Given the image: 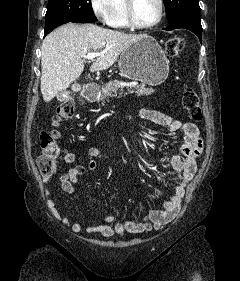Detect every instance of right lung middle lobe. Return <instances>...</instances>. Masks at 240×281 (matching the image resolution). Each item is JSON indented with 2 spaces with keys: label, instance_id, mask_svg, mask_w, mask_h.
<instances>
[{
  "label": "right lung middle lobe",
  "instance_id": "dd1d6c3e",
  "mask_svg": "<svg viewBox=\"0 0 240 281\" xmlns=\"http://www.w3.org/2000/svg\"><path fill=\"white\" fill-rule=\"evenodd\" d=\"M45 35L68 22L91 23L96 21L91 0H48L45 15Z\"/></svg>",
  "mask_w": 240,
  "mask_h": 281
}]
</instances>
